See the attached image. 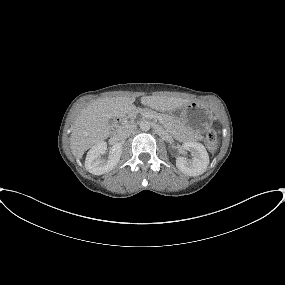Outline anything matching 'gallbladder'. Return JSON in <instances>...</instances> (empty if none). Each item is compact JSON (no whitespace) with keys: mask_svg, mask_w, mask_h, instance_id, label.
I'll use <instances>...</instances> for the list:
<instances>
[{"mask_svg":"<svg viewBox=\"0 0 285 285\" xmlns=\"http://www.w3.org/2000/svg\"><path fill=\"white\" fill-rule=\"evenodd\" d=\"M113 122H114V121H113V119H110V120H109V124H111V125H112V124H113Z\"/></svg>","mask_w":285,"mask_h":285,"instance_id":"bac80fb5","label":"gallbladder"}]
</instances>
